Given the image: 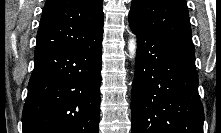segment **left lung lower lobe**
I'll list each match as a JSON object with an SVG mask.
<instances>
[{"mask_svg": "<svg viewBox=\"0 0 221 133\" xmlns=\"http://www.w3.org/2000/svg\"><path fill=\"white\" fill-rule=\"evenodd\" d=\"M131 29L138 44L132 133H203L192 41Z\"/></svg>", "mask_w": 221, "mask_h": 133, "instance_id": "left-lung-lower-lobe-1", "label": "left lung lower lobe"}]
</instances>
